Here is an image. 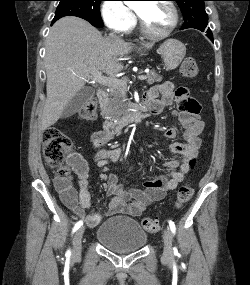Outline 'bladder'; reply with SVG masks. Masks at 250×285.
<instances>
[{
  "instance_id": "bladder-1",
  "label": "bladder",
  "mask_w": 250,
  "mask_h": 285,
  "mask_svg": "<svg viewBox=\"0 0 250 285\" xmlns=\"http://www.w3.org/2000/svg\"><path fill=\"white\" fill-rule=\"evenodd\" d=\"M95 236L102 246L118 254L138 251L148 239L139 222L127 216L108 218L97 227Z\"/></svg>"
}]
</instances>
